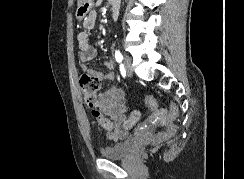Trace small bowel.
Segmentation results:
<instances>
[{"instance_id": "small-bowel-1", "label": "small bowel", "mask_w": 244, "mask_h": 179, "mask_svg": "<svg viewBox=\"0 0 244 179\" xmlns=\"http://www.w3.org/2000/svg\"><path fill=\"white\" fill-rule=\"evenodd\" d=\"M92 8L90 9L89 18H79L82 20L83 30L78 34V48L79 59L82 62L80 68L82 71L92 75L98 76L101 80H112L114 78L113 68L114 62L111 59H107L104 62L106 71H101L95 68H91L87 65V62L93 60L97 56L96 49L92 46L89 40L88 31L93 29L97 20V13L94 9V3L91 2ZM113 7H117L114 5ZM112 7V8H113ZM118 9V7H117ZM119 12V9H118ZM97 108L114 119V128L109 132L108 136L111 139L118 140L124 138L132 126H125L124 122L126 116L124 115V97L123 90L117 88H109L98 95L96 101ZM131 116H139V113L132 114Z\"/></svg>"}]
</instances>
